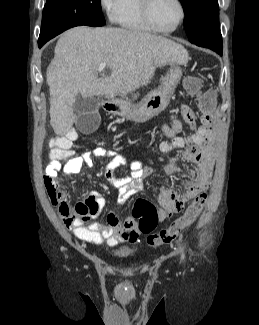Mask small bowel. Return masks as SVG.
Wrapping results in <instances>:
<instances>
[{"label":"small bowel","mask_w":259,"mask_h":325,"mask_svg":"<svg viewBox=\"0 0 259 325\" xmlns=\"http://www.w3.org/2000/svg\"><path fill=\"white\" fill-rule=\"evenodd\" d=\"M182 121L192 128L195 126L194 112L185 104L180 105L178 114L170 115L169 120L160 126L162 135L170 139V143H174V139H184V144H179V148H170L169 144V149L163 150L162 144L165 143L163 142L159 146V150L168 153L174 149H183L181 159L193 163L194 170L182 182L185 187L183 194L168 187L160 190L157 196L160 221L181 211L188 201L204 193L210 185L214 157L209 143V130L203 129L202 126L192 136L181 137L178 134L182 129ZM92 157L110 159L104 167V177L118 189V205L125 204L132 196L142 191L144 179L152 172L151 166H144L139 160H134L130 162L129 174L123 178H116L114 171L125 165L127 160L123 155L104 147H96L76 156L70 152L62 158L66 159L64 165L61 159H55L50 152L51 160L44 175L45 184L47 185L53 180L60 171L64 176L71 177L79 173L83 166L92 167ZM165 170L173 174L181 172L174 160H170L166 164ZM51 202L58 206L59 215L65 225L82 241L94 245L105 243L107 246H115L121 242L134 243L138 239L137 221L133 217L122 220L117 214L110 211L106 224L94 221L107 204L105 197L98 191H90L85 201L78 202L74 206L66 200L64 194L59 199H51Z\"/></svg>","instance_id":"small-bowel-1"}]
</instances>
